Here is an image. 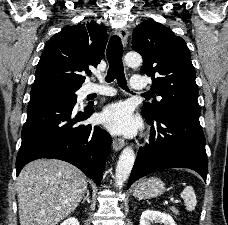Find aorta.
<instances>
[{
    "label": "aorta",
    "instance_id": "obj_1",
    "mask_svg": "<svg viewBox=\"0 0 228 225\" xmlns=\"http://www.w3.org/2000/svg\"><path fill=\"white\" fill-rule=\"evenodd\" d=\"M125 64L128 66H140L142 62V56L139 52H127L125 54ZM135 163V153L132 147H126L123 149L119 161L117 163L116 171H115V185L116 187H123L124 183H126L127 179H129V175L133 169V165Z\"/></svg>",
    "mask_w": 228,
    "mask_h": 225
}]
</instances>
